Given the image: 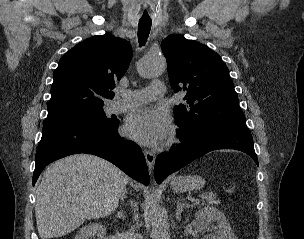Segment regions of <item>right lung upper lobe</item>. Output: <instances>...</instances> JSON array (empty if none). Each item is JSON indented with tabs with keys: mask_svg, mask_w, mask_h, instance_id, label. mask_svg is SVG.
Wrapping results in <instances>:
<instances>
[{
	"mask_svg": "<svg viewBox=\"0 0 304 239\" xmlns=\"http://www.w3.org/2000/svg\"><path fill=\"white\" fill-rule=\"evenodd\" d=\"M132 58L130 44L113 35L93 36L77 44L59 61L53 73L48 117H57L104 106L112 99Z\"/></svg>",
	"mask_w": 304,
	"mask_h": 239,
	"instance_id": "obj_1",
	"label": "right lung upper lobe"
}]
</instances>
